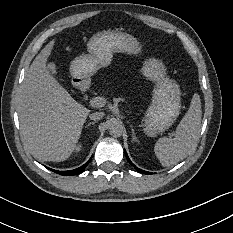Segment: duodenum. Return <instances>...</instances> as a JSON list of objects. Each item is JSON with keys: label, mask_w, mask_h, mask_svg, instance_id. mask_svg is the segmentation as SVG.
<instances>
[{"label": "duodenum", "mask_w": 233, "mask_h": 233, "mask_svg": "<svg viewBox=\"0 0 233 233\" xmlns=\"http://www.w3.org/2000/svg\"><path fill=\"white\" fill-rule=\"evenodd\" d=\"M75 87L81 92L85 93L90 87L89 79L85 77H77L74 79Z\"/></svg>", "instance_id": "410a0bca"}]
</instances>
